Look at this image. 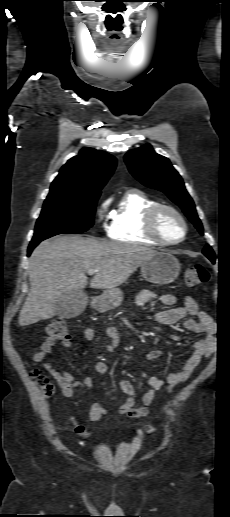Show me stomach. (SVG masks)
Here are the masks:
<instances>
[{"instance_id": "1", "label": "stomach", "mask_w": 230, "mask_h": 517, "mask_svg": "<svg viewBox=\"0 0 230 517\" xmlns=\"http://www.w3.org/2000/svg\"><path fill=\"white\" fill-rule=\"evenodd\" d=\"M180 268L179 261L173 255L157 252L141 264V274L148 282L166 285L177 279ZM122 301L123 293L120 289H108L100 296L97 308L101 311L115 309Z\"/></svg>"}]
</instances>
